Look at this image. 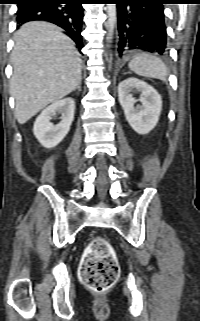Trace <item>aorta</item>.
<instances>
[{
  "label": "aorta",
  "mask_w": 200,
  "mask_h": 321,
  "mask_svg": "<svg viewBox=\"0 0 200 321\" xmlns=\"http://www.w3.org/2000/svg\"><path fill=\"white\" fill-rule=\"evenodd\" d=\"M106 9H107V15H108V32H109L107 39H110L117 22V7H116V4H107Z\"/></svg>",
  "instance_id": "aorta-1"
}]
</instances>
